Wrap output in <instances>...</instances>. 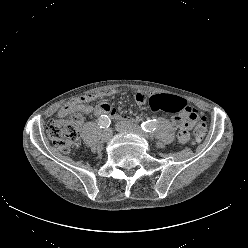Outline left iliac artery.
I'll return each mask as SVG.
<instances>
[{
  "label": "left iliac artery",
  "mask_w": 248,
  "mask_h": 248,
  "mask_svg": "<svg viewBox=\"0 0 248 248\" xmlns=\"http://www.w3.org/2000/svg\"><path fill=\"white\" fill-rule=\"evenodd\" d=\"M141 127L146 132H154L157 128V122L155 120H148L141 124Z\"/></svg>",
  "instance_id": "1"
}]
</instances>
